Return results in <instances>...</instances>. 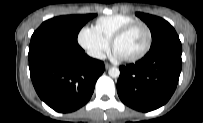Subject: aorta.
I'll return each mask as SVG.
<instances>
[{"mask_svg":"<svg viewBox=\"0 0 203 123\" xmlns=\"http://www.w3.org/2000/svg\"><path fill=\"white\" fill-rule=\"evenodd\" d=\"M108 74L112 78H118L120 75V71L117 67H112L109 69Z\"/></svg>","mask_w":203,"mask_h":123,"instance_id":"obj_1","label":"aorta"}]
</instances>
